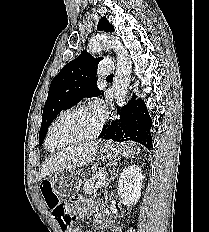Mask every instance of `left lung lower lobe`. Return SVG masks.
<instances>
[{
  "label": "left lung lower lobe",
  "mask_w": 209,
  "mask_h": 232,
  "mask_svg": "<svg viewBox=\"0 0 209 232\" xmlns=\"http://www.w3.org/2000/svg\"><path fill=\"white\" fill-rule=\"evenodd\" d=\"M120 119L112 120L103 127L99 138L113 141H135L149 150L152 148L151 126L152 120L147 107L141 99L136 101L133 95L130 102L118 110Z\"/></svg>",
  "instance_id": "obj_1"
}]
</instances>
